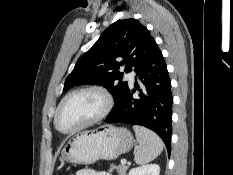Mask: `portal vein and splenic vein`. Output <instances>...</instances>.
<instances>
[{"label": "portal vein and splenic vein", "instance_id": "18ae733b", "mask_svg": "<svg viewBox=\"0 0 233 175\" xmlns=\"http://www.w3.org/2000/svg\"><path fill=\"white\" fill-rule=\"evenodd\" d=\"M126 163H127L126 159H122V160H121V164H122V165H125Z\"/></svg>", "mask_w": 233, "mask_h": 175}]
</instances>
